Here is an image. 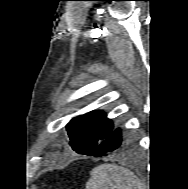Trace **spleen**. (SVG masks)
I'll return each mask as SVG.
<instances>
[{"mask_svg": "<svg viewBox=\"0 0 188 189\" xmlns=\"http://www.w3.org/2000/svg\"><path fill=\"white\" fill-rule=\"evenodd\" d=\"M86 189H139L138 178L130 170L116 164H102L95 167Z\"/></svg>", "mask_w": 188, "mask_h": 189, "instance_id": "3e777b00", "label": "spleen"}]
</instances>
